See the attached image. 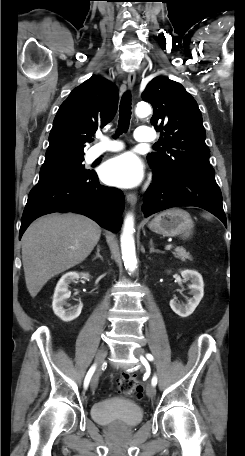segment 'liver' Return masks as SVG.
<instances>
[{
	"mask_svg": "<svg viewBox=\"0 0 245 456\" xmlns=\"http://www.w3.org/2000/svg\"><path fill=\"white\" fill-rule=\"evenodd\" d=\"M100 236L99 225L79 214H51L34 221L22 237V262L31 297L52 277L84 261Z\"/></svg>",
	"mask_w": 245,
	"mask_h": 456,
	"instance_id": "liver-1",
	"label": "liver"
}]
</instances>
